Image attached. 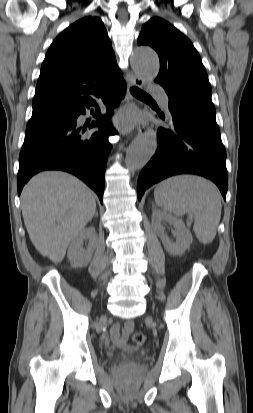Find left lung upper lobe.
I'll return each instance as SVG.
<instances>
[{
    "mask_svg": "<svg viewBox=\"0 0 253 413\" xmlns=\"http://www.w3.org/2000/svg\"><path fill=\"white\" fill-rule=\"evenodd\" d=\"M138 45H149L160 59L155 82L170 96L215 110L211 86L201 58L191 41L169 22L153 17L142 27Z\"/></svg>",
    "mask_w": 253,
    "mask_h": 413,
    "instance_id": "1",
    "label": "left lung upper lobe"
}]
</instances>
